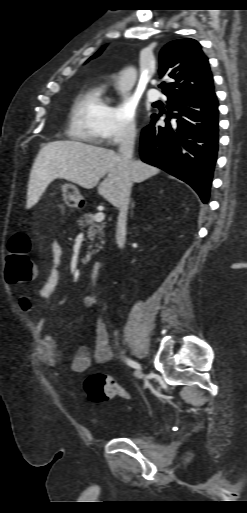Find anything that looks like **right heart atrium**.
Masks as SVG:
<instances>
[{"instance_id":"right-heart-atrium-1","label":"right heart atrium","mask_w":247,"mask_h":513,"mask_svg":"<svg viewBox=\"0 0 247 513\" xmlns=\"http://www.w3.org/2000/svg\"><path fill=\"white\" fill-rule=\"evenodd\" d=\"M136 116L134 101L129 96L122 95L107 114L103 143L115 146L132 140L137 132Z\"/></svg>"}]
</instances>
